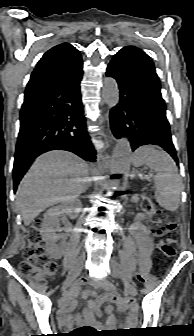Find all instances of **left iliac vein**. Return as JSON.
I'll return each mask as SVG.
<instances>
[{"mask_svg": "<svg viewBox=\"0 0 194 336\" xmlns=\"http://www.w3.org/2000/svg\"><path fill=\"white\" fill-rule=\"evenodd\" d=\"M110 267H111L112 275L115 278H119V279H121V280H123L125 282L126 291L130 295L136 296L138 294L137 288L133 284L128 283V282L125 281V278L123 276V273H122V270H121V267H120L119 263L116 260L112 259L111 262H110Z\"/></svg>", "mask_w": 194, "mask_h": 336, "instance_id": "left-iliac-vein-1", "label": "left iliac vein"}]
</instances>
